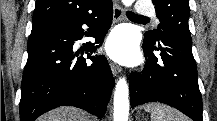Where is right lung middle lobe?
<instances>
[{
	"instance_id": "obj_1",
	"label": "right lung middle lobe",
	"mask_w": 217,
	"mask_h": 121,
	"mask_svg": "<svg viewBox=\"0 0 217 121\" xmlns=\"http://www.w3.org/2000/svg\"><path fill=\"white\" fill-rule=\"evenodd\" d=\"M60 24L63 23L56 22V21H42V22L33 23L31 33L43 30L45 28L54 27Z\"/></svg>"
}]
</instances>
